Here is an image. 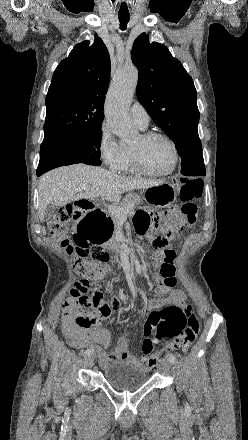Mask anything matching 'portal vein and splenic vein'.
<instances>
[{
  "label": "portal vein and splenic vein",
  "instance_id": "obj_1",
  "mask_svg": "<svg viewBox=\"0 0 248 440\" xmlns=\"http://www.w3.org/2000/svg\"><path fill=\"white\" fill-rule=\"evenodd\" d=\"M86 187H83L81 190H85ZM133 209V205L129 204L125 209L118 208L117 206L110 205L108 206L109 212L119 218L121 221H126L127 213H129Z\"/></svg>",
  "mask_w": 248,
  "mask_h": 440
}]
</instances>
